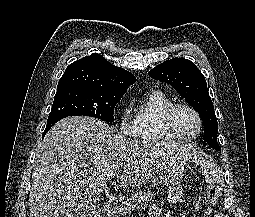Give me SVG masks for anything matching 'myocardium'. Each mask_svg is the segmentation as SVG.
I'll return each instance as SVG.
<instances>
[{"label":"myocardium","instance_id":"obj_1","mask_svg":"<svg viewBox=\"0 0 255 217\" xmlns=\"http://www.w3.org/2000/svg\"><path fill=\"white\" fill-rule=\"evenodd\" d=\"M180 108L189 110L195 115L197 119L198 126L195 133L192 135L181 134L174 125V121H173L174 115L176 111ZM163 122H164L165 129L168 131V133L171 134L174 138L181 139V140L195 139L201 132L202 124H203L202 117L200 113L198 112V110L187 103H174L170 107H168L164 112Z\"/></svg>","mask_w":255,"mask_h":217}]
</instances>
